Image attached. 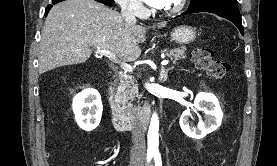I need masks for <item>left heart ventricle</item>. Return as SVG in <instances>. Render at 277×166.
<instances>
[{
    "label": "left heart ventricle",
    "mask_w": 277,
    "mask_h": 166,
    "mask_svg": "<svg viewBox=\"0 0 277 166\" xmlns=\"http://www.w3.org/2000/svg\"><path fill=\"white\" fill-rule=\"evenodd\" d=\"M178 0H167L166 4L161 8L162 10H167L170 9L171 7H173Z\"/></svg>",
    "instance_id": "left-heart-ventricle-1"
}]
</instances>
